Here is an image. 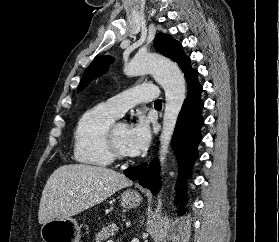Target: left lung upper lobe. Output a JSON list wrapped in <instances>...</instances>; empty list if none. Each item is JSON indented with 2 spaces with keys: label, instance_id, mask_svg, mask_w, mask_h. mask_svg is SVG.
Listing matches in <instances>:
<instances>
[{
  "label": "left lung upper lobe",
  "instance_id": "1",
  "mask_svg": "<svg viewBox=\"0 0 279 242\" xmlns=\"http://www.w3.org/2000/svg\"><path fill=\"white\" fill-rule=\"evenodd\" d=\"M154 46L156 51L171 58L180 67L188 58L184 55L181 44L169 35L163 33L157 34L154 40ZM110 60L109 57H98L95 59L84 72L82 80L78 86V92L82 91L94 77L100 75V73L107 68Z\"/></svg>",
  "mask_w": 279,
  "mask_h": 242
}]
</instances>
